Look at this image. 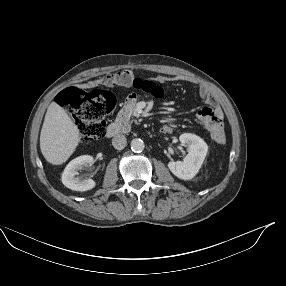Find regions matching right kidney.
Instances as JSON below:
<instances>
[{
  "mask_svg": "<svg viewBox=\"0 0 286 286\" xmlns=\"http://www.w3.org/2000/svg\"><path fill=\"white\" fill-rule=\"evenodd\" d=\"M94 163L92 156L83 155L79 156L72 161L64 169L62 174V183L69 189L75 191H87L95 187L96 183L92 179L81 180L75 177L77 170L84 166H91Z\"/></svg>",
  "mask_w": 286,
  "mask_h": 286,
  "instance_id": "1",
  "label": "right kidney"
}]
</instances>
